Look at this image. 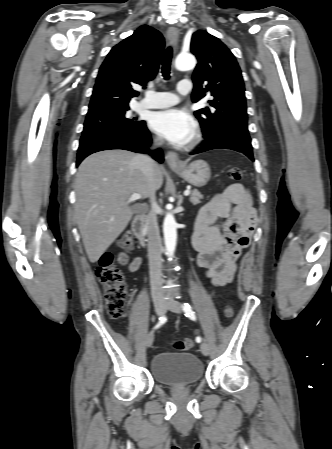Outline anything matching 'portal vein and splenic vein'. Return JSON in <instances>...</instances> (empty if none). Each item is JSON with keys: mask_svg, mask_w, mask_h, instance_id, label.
<instances>
[{"mask_svg": "<svg viewBox=\"0 0 332 449\" xmlns=\"http://www.w3.org/2000/svg\"><path fill=\"white\" fill-rule=\"evenodd\" d=\"M190 194V191L189 190H186L185 192H184V196H188ZM141 198V195L140 194H137V193H133L132 195H131V197H130V201H133V200H137V199H140Z\"/></svg>", "mask_w": 332, "mask_h": 449, "instance_id": "1", "label": "portal vein and splenic vein"}]
</instances>
